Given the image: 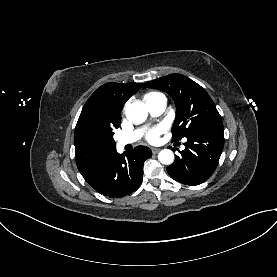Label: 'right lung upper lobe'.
I'll return each mask as SVG.
<instances>
[{"instance_id":"1","label":"right lung upper lobe","mask_w":277,"mask_h":277,"mask_svg":"<svg viewBox=\"0 0 277 277\" xmlns=\"http://www.w3.org/2000/svg\"><path fill=\"white\" fill-rule=\"evenodd\" d=\"M143 83H106L87 100L75 127V159L83 171L113 150L114 129L121 123L124 103Z\"/></svg>"}]
</instances>
